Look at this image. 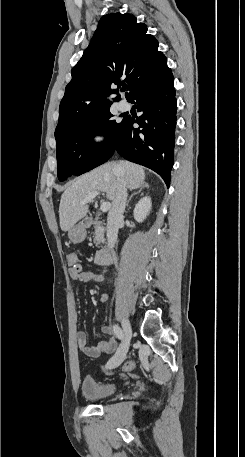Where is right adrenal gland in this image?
<instances>
[{
    "label": "right adrenal gland",
    "instance_id": "2a0ac1e0",
    "mask_svg": "<svg viewBox=\"0 0 245 457\" xmlns=\"http://www.w3.org/2000/svg\"><path fill=\"white\" fill-rule=\"evenodd\" d=\"M142 188H149L148 182H143V184H141V186H140L138 192H142ZM138 192H134V194H138ZM134 194H131V196H129V200H128V202H127V206H129V202H130L132 196H134ZM142 194H143V192H142Z\"/></svg>",
    "mask_w": 245,
    "mask_h": 457
}]
</instances>
